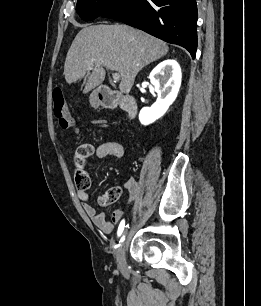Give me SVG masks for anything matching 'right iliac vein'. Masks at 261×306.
<instances>
[{
  "label": "right iliac vein",
  "instance_id": "1",
  "mask_svg": "<svg viewBox=\"0 0 261 306\" xmlns=\"http://www.w3.org/2000/svg\"><path fill=\"white\" fill-rule=\"evenodd\" d=\"M124 242L122 244V247L120 249V252L117 256V262H118V268L126 273L127 272V261H126V241H127V231L124 232L123 235Z\"/></svg>",
  "mask_w": 261,
  "mask_h": 306
}]
</instances>
